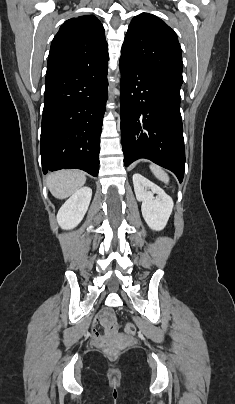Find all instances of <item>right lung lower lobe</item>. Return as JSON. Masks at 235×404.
Here are the masks:
<instances>
[{
    "instance_id": "right-lung-lower-lobe-1",
    "label": "right lung lower lobe",
    "mask_w": 235,
    "mask_h": 404,
    "mask_svg": "<svg viewBox=\"0 0 235 404\" xmlns=\"http://www.w3.org/2000/svg\"><path fill=\"white\" fill-rule=\"evenodd\" d=\"M107 64L46 76L40 143L44 174L78 168L98 175Z\"/></svg>"
}]
</instances>
